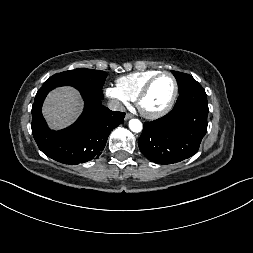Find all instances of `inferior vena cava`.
<instances>
[{"label":"inferior vena cava","instance_id":"obj_1","mask_svg":"<svg viewBox=\"0 0 253 253\" xmlns=\"http://www.w3.org/2000/svg\"><path fill=\"white\" fill-rule=\"evenodd\" d=\"M107 105L108 108L112 111H125V107L117 100H110Z\"/></svg>","mask_w":253,"mask_h":253}]
</instances>
